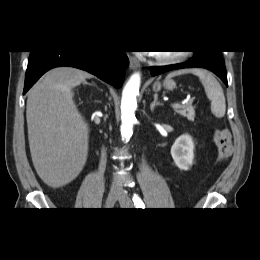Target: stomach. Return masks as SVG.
Masks as SVG:
<instances>
[{"label":"stomach","instance_id":"1","mask_svg":"<svg viewBox=\"0 0 260 260\" xmlns=\"http://www.w3.org/2000/svg\"><path fill=\"white\" fill-rule=\"evenodd\" d=\"M161 87H164L166 90L172 91L176 88V83L171 79H166L162 84L159 81H156L153 84V90L158 92Z\"/></svg>","mask_w":260,"mask_h":260}]
</instances>
